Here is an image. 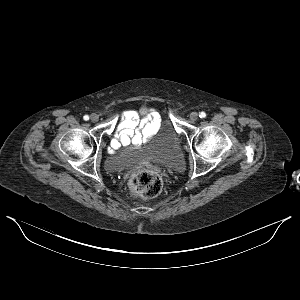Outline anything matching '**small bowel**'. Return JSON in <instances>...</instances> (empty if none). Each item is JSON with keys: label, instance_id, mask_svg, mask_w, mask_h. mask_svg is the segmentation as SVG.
Here are the masks:
<instances>
[{"label": "small bowel", "instance_id": "c3829d8e", "mask_svg": "<svg viewBox=\"0 0 300 300\" xmlns=\"http://www.w3.org/2000/svg\"><path fill=\"white\" fill-rule=\"evenodd\" d=\"M158 123L159 116L155 112L142 119H139L135 111L124 112L117 126L115 138L111 142V147L117 149L120 145L141 143L155 132Z\"/></svg>", "mask_w": 300, "mask_h": 300}]
</instances>
